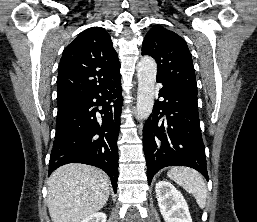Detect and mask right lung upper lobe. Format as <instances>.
Returning <instances> with one entry per match:
<instances>
[{
  "instance_id": "cb5924a9",
  "label": "right lung upper lobe",
  "mask_w": 257,
  "mask_h": 222,
  "mask_svg": "<svg viewBox=\"0 0 257 222\" xmlns=\"http://www.w3.org/2000/svg\"><path fill=\"white\" fill-rule=\"evenodd\" d=\"M119 70L109 34L101 27L84 30L63 51L57 77L58 106L66 107L92 94Z\"/></svg>"
}]
</instances>
